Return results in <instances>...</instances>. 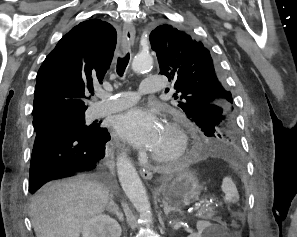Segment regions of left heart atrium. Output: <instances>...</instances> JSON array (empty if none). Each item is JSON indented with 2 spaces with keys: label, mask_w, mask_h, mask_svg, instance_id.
<instances>
[{
  "label": "left heart atrium",
  "mask_w": 297,
  "mask_h": 237,
  "mask_svg": "<svg viewBox=\"0 0 297 237\" xmlns=\"http://www.w3.org/2000/svg\"><path fill=\"white\" fill-rule=\"evenodd\" d=\"M115 129L133 146L151 151L158 142L163 124L152 110L136 107L116 117Z\"/></svg>",
  "instance_id": "left-heart-atrium-1"
}]
</instances>
